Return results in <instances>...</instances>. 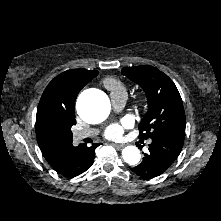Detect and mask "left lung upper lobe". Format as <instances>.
Listing matches in <instances>:
<instances>
[{"instance_id":"left-lung-upper-lobe-1","label":"left lung upper lobe","mask_w":221,"mask_h":221,"mask_svg":"<svg viewBox=\"0 0 221 221\" xmlns=\"http://www.w3.org/2000/svg\"><path fill=\"white\" fill-rule=\"evenodd\" d=\"M123 75L140 85L147 96L148 111L139 124V138L174 136L184 138L186 118L174 82L155 67H124Z\"/></svg>"}]
</instances>
